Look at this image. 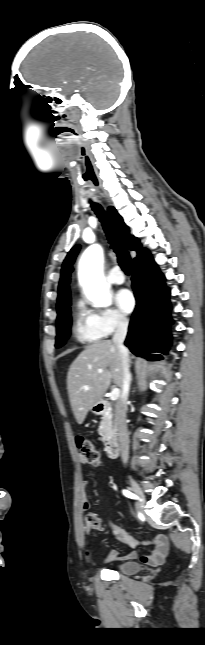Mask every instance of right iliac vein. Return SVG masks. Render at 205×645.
Segmentation results:
<instances>
[{"label":"right iliac vein","instance_id":"obj_1","mask_svg":"<svg viewBox=\"0 0 205 645\" xmlns=\"http://www.w3.org/2000/svg\"><path fill=\"white\" fill-rule=\"evenodd\" d=\"M130 485H131V490L135 493V495L138 497V508L140 511L143 509V502H144V496L139 488V486L136 484V482L130 478L129 479Z\"/></svg>","mask_w":205,"mask_h":645}]
</instances>
